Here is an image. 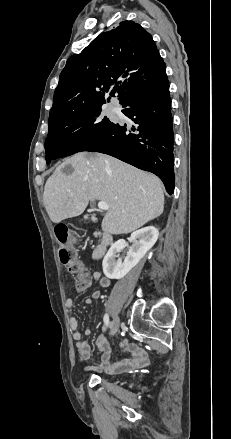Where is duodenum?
Instances as JSON below:
<instances>
[{
  "mask_svg": "<svg viewBox=\"0 0 231 439\" xmlns=\"http://www.w3.org/2000/svg\"><path fill=\"white\" fill-rule=\"evenodd\" d=\"M113 242V236L107 231L100 233V242L93 252V258L98 260L103 257L108 246Z\"/></svg>",
  "mask_w": 231,
  "mask_h": 439,
  "instance_id": "obj_1",
  "label": "duodenum"
}]
</instances>
